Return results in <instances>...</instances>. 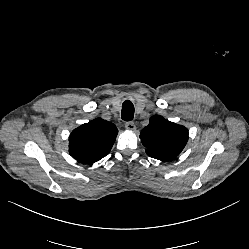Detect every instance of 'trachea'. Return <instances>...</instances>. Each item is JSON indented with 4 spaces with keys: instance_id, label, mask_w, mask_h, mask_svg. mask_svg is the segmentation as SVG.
Returning <instances> with one entry per match:
<instances>
[{
    "instance_id": "1",
    "label": "trachea",
    "mask_w": 249,
    "mask_h": 249,
    "mask_svg": "<svg viewBox=\"0 0 249 249\" xmlns=\"http://www.w3.org/2000/svg\"><path fill=\"white\" fill-rule=\"evenodd\" d=\"M134 117V105L130 100H126L123 102L122 111H121V118L124 121H131Z\"/></svg>"
}]
</instances>
